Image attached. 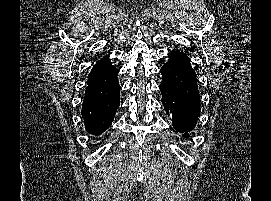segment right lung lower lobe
I'll return each mask as SVG.
<instances>
[{"mask_svg":"<svg viewBox=\"0 0 271 201\" xmlns=\"http://www.w3.org/2000/svg\"><path fill=\"white\" fill-rule=\"evenodd\" d=\"M109 55L98 61L88 76L81 115L86 131L100 135L107 130L120 105L119 70L112 66Z\"/></svg>","mask_w":271,"mask_h":201,"instance_id":"obj_1","label":"right lung lower lobe"}]
</instances>
